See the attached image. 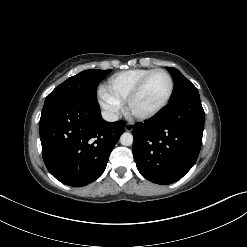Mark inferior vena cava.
I'll return each instance as SVG.
<instances>
[{"label":"inferior vena cava","instance_id":"602c4592","mask_svg":"<svg viewBox=\"0 0 247 247\" xmlns=\"http://www.w3.org/2000/svg\"><path fill=\"white\" fill-rule=\"evenodd\" d=\"M102 117L104 120H106L108 122H114V121L118 120V115L115 114L114 112H110V111H103Z\"/></svg>","mask_w":247,"mask_h":247}]
</instances>
